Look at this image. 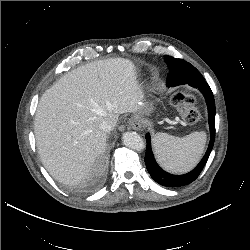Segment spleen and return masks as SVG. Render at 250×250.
<instances>
[{"label": "spleen", "mask_w": 250, "mask_h": 250, "mask_svg": "<svg viewBox=\"0 0 250 250\" xmlns=\"http://www.w3.org/2000/svg\"><path fill=\"white\" fill-rule=\"evenodd\" d=\"M205 132H193L179 138L167 133H156L153 147L160 165L168 171L183 173L199 161L205 147Z\"/></svg>", "instance_id": "1"}]
</instances>
